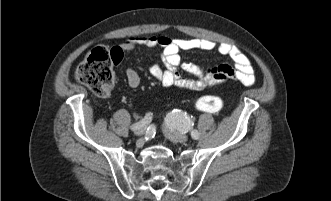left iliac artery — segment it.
<instances>
[{"label":"left iliac artery","instance_id":"left-iliac-artery-1","mask_svg":"<svg viewBox=\"0 0 331 201\" xmlns=\"http://www.w3.org/2000/svg\"><path fill=\"white\" fill-rule=\"evenodd\" d=\"M165 123L171 130H178L184 133L191 131L192 138L199 139L198 131L192 129L194 125L192 119L182 110L174 109L169 112L165 118Z\"/></svg>","mask_w":331,"mask_h":201}]
</instances>
